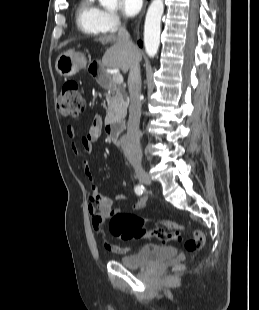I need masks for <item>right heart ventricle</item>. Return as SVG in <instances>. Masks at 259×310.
Masks as SVG:
<instances>
[{
  "label": "right heart ventricle",
  "mask_w": 259,
  "mask_h": 310,
  "mask_svg": "<svg viewBox=\"0 0 259 310\" xmlns=\"http://www.w3.org/2000/svg\"><path fill=\"white\" fill-rule=\"evenodd\" d=\"M104 11L96 0H80L76 13V24L86 34L96 35L105 32Z\"/></svg>",
  "instance_id": "right-heart-ventricle-1"
}]
</instances>
